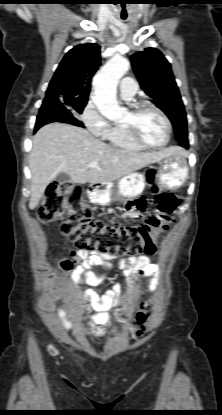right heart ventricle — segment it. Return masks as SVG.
Instances as JSON below:
<instances>
[{
    "label": "right heart ventricle",
    "mask_w": 222,
    "mask_h": 415,
    "mask_svg": "<svg viewBox=\"0 0 222 415\" xmlns=\"http://www.w3.org/2000/svg\"><path fill=\"white\" fill-rule=\"evenodd\" d=\"M106 139L112 146L122 150L140 151L144 149L130 137L123 123L115 124L106 136Z\"/></svg>",
    "instance_id": "obj_1"
}]
</instances>
